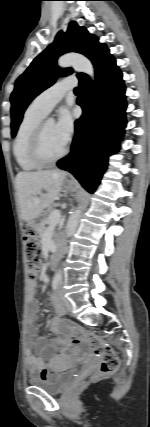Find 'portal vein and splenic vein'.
Here are the masks:
<instances>
[{
  "instance_id": "1",
  "label": "portal vein and splenic vein",
  "mask_w": 150,
  "mask_h": 427,
  "mask_svg": "<svg viewBox=\"0 0 150 427\" xmlns=\"http://www.w3.org/2000/svg\"><path fill=\"white\" fill-rule=\"evenodd\" d=\"M34 201L36 203H39L40 199L39 198H35ZM60 217H61V212L59 210L52 211L51 214H50V216H49L50 225L56 224L59 221Z\"/></svg>"
}]
</instances>
